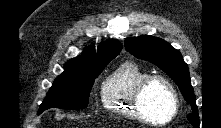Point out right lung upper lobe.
Listing matches in <instances>:
<instances>
[{
	"label": "right lung upper lobe",
	"instance_id": "obj_1",
	"mask_svg": "<svg viewBox=\"0 0 221 128\" xmlns=\"http://www.w3.org/2000/svg\"><path fill=\"white\" fill-rule=\"evenodd\" d=\"M121 49L122 44L115 40H109L98 48L97 53L94 48H91L85 50L82 55L69 60L64 66L63 73L72 72L86 65L99 64L113 55H118Z\"/></svg>",
	"mask_w": 221,
	"mask_h": 128
}]
</instances>
